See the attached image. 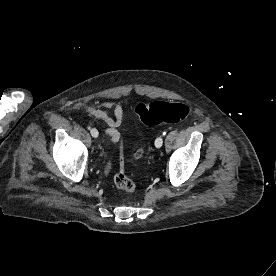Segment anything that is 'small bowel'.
<instances>
[{
  "instance_id": "obj_1",
  "label": "small bowel",
  "mask_w": 276,
  "mask_h": 276,
  "mask_svg": "<svg viewBox=\"0 0 276 276\" xmlns=\"http://www.w3.org/2000/svg\"><path fill=\"white\" fill-rule=\"evenodd\" d=\"M106 110H112L113 116H110ZM86 112L107 125L105 133L110 137L109 143H115L120 139L118 128L124 117V109L121 104L113 101H105L100 107L87 106Z\"/></svg>"
}]
</instances>
